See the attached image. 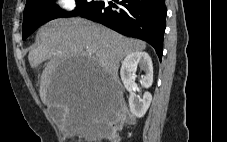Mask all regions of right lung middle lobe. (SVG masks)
Masks as SVG:
<instances>
[{
	"label": "right lung middle lobe",
	"mask_w": 227,
	"mask_h": 142,
	"mask_svg": "<svg viewBox=\"0 0 227 142\" xmlns=\"http://www.w3.org/2000/svg\"><path fill=\"white\" fill-rule=\"evenodd\" d=\"M76 8L72 12L61 10L55 5L54 0H29L26 2L22 38L25 40L38 27L46 22L60 17H73L81 14L86 9L97 5L100 0H75Z\"/></svg>",
	"instance_id": "1"
}]
</instances>
